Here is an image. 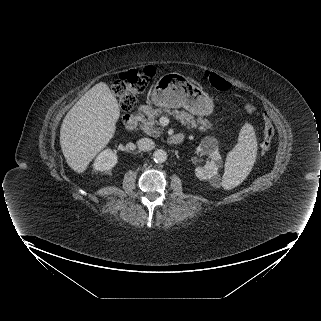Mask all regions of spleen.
<instances>
[{"label":"spleen","mask_w":321,"mask_h":321,"mask_svg":"<svg viewBox=\"0 0 321 321\" xmlns=\"http://www.w3.org/2000/svg\"><path fill=\"white\" fill-rule=\"evenodd\" d=\"M257 154V139L251 124L240 130L237 145L227 154L222 186L230 190L244 181L251 171Z\"/></svg>","instance_id":"obj_1"}]
</instances>
